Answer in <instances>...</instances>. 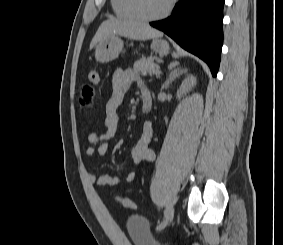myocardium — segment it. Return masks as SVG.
Segmentation results:
<instances>
[{
	"label": "myocardium",
	"instance_id": "obj_1",
	"mask_svg": "<svg viewBox=\"0 0 283 245\" xmlns=\"http://www.w3.org/2000/svg\"><path fill=\"white\" fill-rule=\"evenodd\" d=\"M175 1L176 0H169L165 9L157 15H146L145 13H143V11L140 8V0H130V7L136 18L146 22H153L167 17L171 12L175 4Z\"/></svg>",
	"mask_w": 283,
	"mask_h": 245
}]
</instances>
